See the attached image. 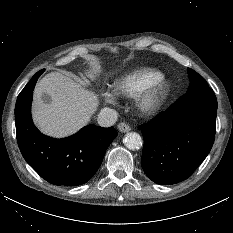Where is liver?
Returning <instances> with one entry per match:
<instances>
[{"mask_svg":"<svg viewBox=\"0 0 233 233\" xmlns=\"http://www.w3.org/2000/svg\"><path fill=\"white\" fill-rule=\"evenodd\" d=\"M44 94L51 97L45 103ZM99 104L95 93L59 72H51L36 85L33 120L49 136L65 137L87 125Z\"/></svg>","mask_w":233,"mask_h":233,"instance_id":"liver-1","label":"liver"}]
</instances>
